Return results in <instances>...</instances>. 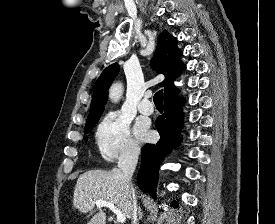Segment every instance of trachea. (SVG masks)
<instances>
[{
    "instance_id": "trachea-1",
    "label": "trachea",
    "mask_w": 275,
    "mask_h": 224,
    "mask_svg": "<svg viewBox=\"0 0 275 224\" xmlns=\"http://www.w3.org/2000/svg\"><path fill=\"white\" fill-rule=\"evenodd\" d=\"M153 100L156 106L163 107V90H159L155 93Z\"/></svg>"
}]
</instances>
